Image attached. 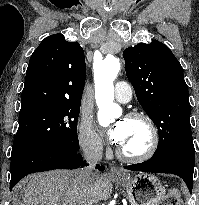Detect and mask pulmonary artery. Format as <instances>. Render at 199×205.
I'll return each instance as SVG.
<instances>
[{
  "instance_id": "e3ab8cb5",
  "label": "pulmonary artery",
  "mask_w": 199,
  "mask_h": 205,
  "mask_svg": "<svg viewBox=\"0 0 199 205\" xmlns=\"http://www.w3.org/2000/svg\"><path fill=\"white\" fill-rule=\"evenodd\" d=\"M114 95L117 101L126 103L132 98V87L124 81H118L115 84Z\"/></svg>"
}]
</instances>
